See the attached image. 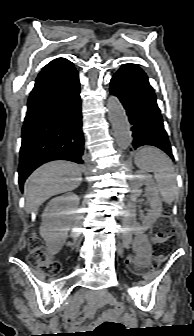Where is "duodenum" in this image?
<instances>
[{"instance_id": "duodenum-1", "label": "duodenum", "mask_w": 194, "mask_h": 336, "mask_svg": "<svg viewBox=\"0 0 194 336\" xmlns=\"http://www.w3.org/2000/svg\"><path fill=\"white\" fill-rule=\"evenodd\" d=\"M91 303H92V305H98V301L96 299H91Z\"/></svg>"}]
</instances>
